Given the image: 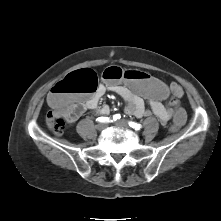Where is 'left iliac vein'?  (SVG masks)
<instances>
[{
    "label": "left iliac vein",
    "mask_w": 221,
    "mask_h": 221,
    "mask_svg": "<svg viewBox=\"0 0 221 221\" xmlns=\"http://www.w3.org/2000/svg\"><path fill=\"white\" fill-rule=\"evenodd\" d=\"M115 125L119 128H122V129H128L129 128V125L125 120H118V121L115 122Z\"/></svg>",
    "instance_id": "obj_1"
}]
</instances>
